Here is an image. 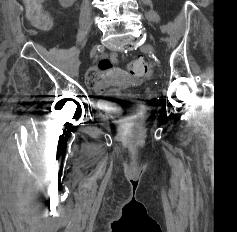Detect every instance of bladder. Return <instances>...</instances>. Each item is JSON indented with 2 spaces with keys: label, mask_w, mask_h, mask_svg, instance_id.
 Here are the masks:
<instances>
[{
  "label": "bladder",
  "mask_w": 237,
  "mask_h": 232,
  "mask_svg": "<svg viewBox=\"0 0 237 232\" xmlns=\"http://www.w3.org/2000/svg\"><path fill=\"white\" fill-rule=\"evenodd\" d=\"M117 91H111L110 97L104 99L101 104V109L107 113H115L120 110V102L117 99Z\"/></svg>",
  "instance_id": "obj_1"
}]
</instances>
